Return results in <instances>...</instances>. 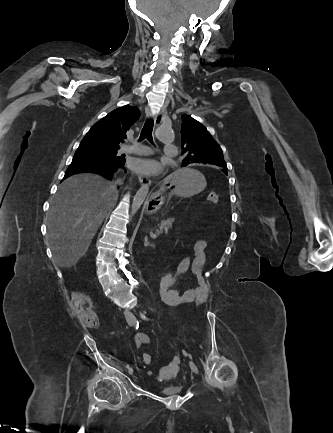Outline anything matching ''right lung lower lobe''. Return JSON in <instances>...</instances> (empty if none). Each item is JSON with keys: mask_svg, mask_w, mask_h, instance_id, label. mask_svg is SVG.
I'll use <instances>...</instances> for the list:
<instances>
[{"mask_svg": "<svg viewBox=\"0 0 333 433\" xmlns=\"http://www.w3.org/2000/svg\"><path fill=\"white\" fill-rule=\"evenodd\" d=\"M125 159L118 160H100L94 158L74 157L68 170L65 173L64 179L80 172H94L111 179L116 172L124 169Z\"/></svg>", "mask_w": 333, "mask_h": 433, "instance_id": "98d812e1", "label": "right lung lower lobe"}]
</instances>
